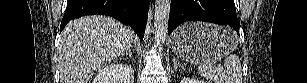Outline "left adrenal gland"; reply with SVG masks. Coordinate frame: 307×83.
Returning a JSON list of instances; mask_svg holds the SVG:
<instances>
[{
    "label": "left adrenal gland",
    "mask_w": 307,
    "mask_h": 83,
    "mask_svg": "<svg viewBox=\"0 0 307 83\" xmlns=\"http://www.w3.org/2000/svg\"><path fill=\"white\" fill-rule=\"evenodd\" d=\"M173 62H174V69H175V70H176L177 68H181V69L185 70L184 66L180 65V64L177 62V60H176L175 57H173Z\"/></svg>",
    "instance_id": "left-adrenal-gland-1"
}]
</instances>
